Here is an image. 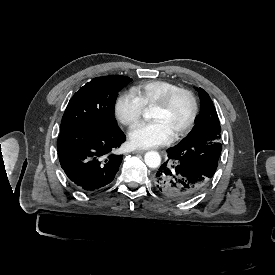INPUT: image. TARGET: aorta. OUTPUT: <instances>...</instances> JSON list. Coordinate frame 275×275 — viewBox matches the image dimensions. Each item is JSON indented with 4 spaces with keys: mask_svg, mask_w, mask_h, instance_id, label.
Wrapping results in <instances>:
<instances>
[{
    "mask_svg": "<svg viewBox=\"0 0 275 275\" xmlns=\"http://www.w3.org/2000/svg\"><path fill=\"white\" fill-rule=\"evenodd\" d=\"M144 161L148 167L157 168L161 164V157L158 152L149 151L144 155Z\"/></svg>",
    "mask_w": 275,
    "mask_h": 275,
    "instance_id": "1",
    "label": "aorta"
}]
</instances>
